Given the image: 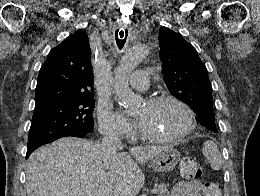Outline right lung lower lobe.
<instances>
[{"instance_id":"98d812e1","label":"right lung lower lobe","mask_w":260,"mask_h":196,"mask_svg":"<svg viewBox=\"0 0 260 196\" xmlns=\"http://www.w3.org/2000/svg\"><path fill=\"white\" fill-rule=\"evenodd\" d=\"M87 134H78V135H75V136H73V137H80V138H83V137H85ZM34 150L33 149H31V150H28L27 149V155H26V158L33 152Z\"/></svg>"}]
</instances>
